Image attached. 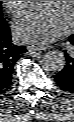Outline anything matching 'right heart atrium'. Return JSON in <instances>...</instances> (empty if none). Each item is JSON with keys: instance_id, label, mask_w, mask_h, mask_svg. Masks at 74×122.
Instances as JSON below:
<instances>
[{"instance_id": "right-heart-atrium-1", "label": "right heart atrium", "mask_w": 74, "mask_h": 122, "mask_svg": "<svg viewBox=\"0 0 74 122\" xmlns=\"http://www.w3.org/2000/svg\"><path fill=\"white\" fill-rule=\"evenodd\" d=\"M28 1H3L7 10L12 13L13 15H20L25 6L27 5ZM21 12V13H20Z\"/></svg>"}]
</instances>
